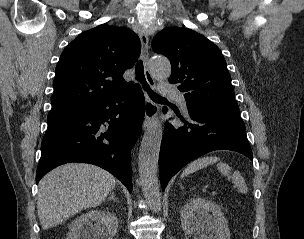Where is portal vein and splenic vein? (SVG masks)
Returning a JSON list of instances; mask_svg holds the SVG:
<instances>
[{"mask_svg":"<svg viewBox=\"0 0 304 239\" xmlns=\"http://www.w3.org/2000/svg\"><path fill=\"white\" fill-rule=\"evenodd\" d=\"M212 194H213V195H216V194H217V192H216V191H213V192H212Z\"/></svg>","mask_w":304,"mask_h":239,"instance_id":"1","label":"portal vein and splenic vein"}]
</instances>
